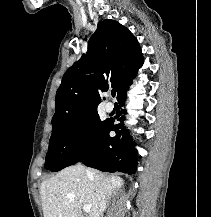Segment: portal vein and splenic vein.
Instances as JSON below:
<instances>
[{
    "label": "portal vein and splenic vein",
    "instance_id": "18ae733b",
    "mask_svg": "<svg viewBox=\"0 0 211 217\" xmlns=\"http://www.w3.org/2000/svg\"><path fill=\"white\" fill-rule=\"evenodd\" d=\"M90 209H91V207H90L89 205L83 206V210H84V212H86V213L90 212Z\"/></svg>",
    "mask_w": 211,
    "mask_h": 217
}]
</instances>
